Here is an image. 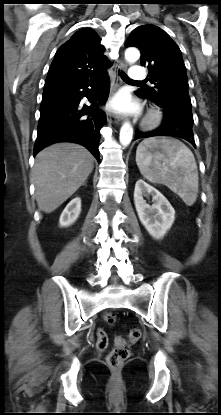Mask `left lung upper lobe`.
I'll return each instance as SVG.
<instances>
[{
    "mask_svg": "<svg viewBox=\"0 0 221 415\" xmlns=\"http://www.w3.org/2000/svg\"><path fill=\"white\" fill-rule=\"evenodd\" d=\"M141 51V65L149 69L153 87H143L136 92L155 103L171 100L191 103L188 78L181 51L169 35L155 25L137 27L125 42Z\"/></svg>",
    "mask_w": 221,
    "mask_h": 415,
    "instance_id": "5c2ea615",
    "label": "left lung upper lobe"
}]
</instances>
